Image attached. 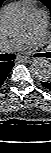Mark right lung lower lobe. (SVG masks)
<instances>
[{"instance_id": "1", "label": "right lung lower lobe", "mask_w": 51, "mask_h": 153, "mask_svg": "<svg viewBox=\"0 0 51 153\" xmlns=\"http://www.w3.org/2000/svg\"><path fill=\"white\" fill-rule=\"evenodd\" d=\"M14 66L13 62H4L0 65V86L5 81L6 77L8 76L10 70Z\"/></svg>"}]
</instances>
